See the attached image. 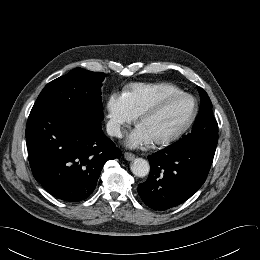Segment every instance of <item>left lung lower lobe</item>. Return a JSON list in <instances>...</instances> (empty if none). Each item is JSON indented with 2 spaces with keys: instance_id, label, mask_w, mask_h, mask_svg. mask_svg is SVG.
Instances as JSON below:
<instances>
[{
  "instance_id": "0a47b994",
  "label": "left lung lower lobe",
  "mask_w": 260,
  "mask_h": 260,
  "mask_svg": "<svg viewBox=\"0 0 260 260\" xmlns=\"http://www.w3.org/2000/svg\"><path fill=\"white\" fill-rule=\"evenodd\" d=\"M215 150L174 143L149 156V178L138 186L143 202L163 211L186 201L205 182Z\"/></svg>"
}]
</instances>
